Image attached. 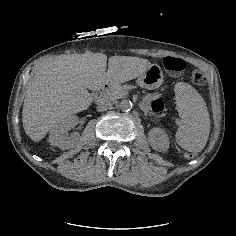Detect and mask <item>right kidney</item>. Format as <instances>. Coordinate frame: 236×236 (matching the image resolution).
<instances>
[{"label":"right kidney","mask_w":236,"mask_h":236,"mask_svg":"<svg viewBox=\"0 0 236 236\" xmlns=\"http://www.w3.org/2000/svg\"><path fill=\"white\" fill-rule=\"evenodd\" d=\"M77 122L78 119L76 117H71L67 119L62 126L53 129L48 138L50 145L56 146L61 150L77 148V146L80 145V134L75 132L70 137L64 134L68 128L74 127Z\"/></svg>","instance_id":"obj_1"}]
</instances>
